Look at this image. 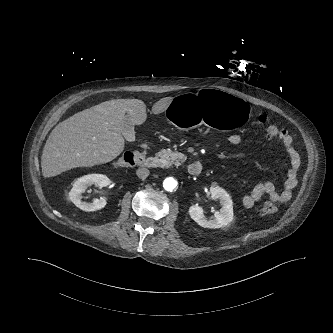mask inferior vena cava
<instances>
[{
    "label": "inferior vena cava",
    "mask_w": 333,
    "mask_h": 333,
    "mask_svg": "<svg viewBox=\"0 0 333 333\" xmlns=\"http://www.w3.org/2000/svg\"><path fill=\"white\" fill-rule=\"evenodd\" d=\"M136 174L139 178L141 179H145L146 177H148L149 175V170L147 168H139L137 171H136Z\"/></svg>",
    "instance_id": "obj_1"
}]
</instances>
